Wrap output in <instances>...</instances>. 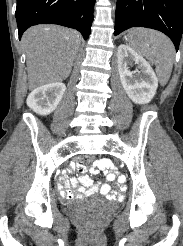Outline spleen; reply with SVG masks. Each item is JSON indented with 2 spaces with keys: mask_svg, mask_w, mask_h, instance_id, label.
<instances>
[{
  "mask_svg": "<svg viewBox=\"0 0 183 246\" xmlns=\"http://www.w3.org/2000/svg\"><path fill=\"white\" fill-rule=\"evenodd\" d=\"M129 44L156 64V73L162 86L172 72L175 48L171 40L158 31L138 28L129 34Z\"/></svg>",
  "mask_w": 183,
  "mask_h": 246,
  "instance_id": "obj_1",
  "label": "spleen"
}]
</instances>
